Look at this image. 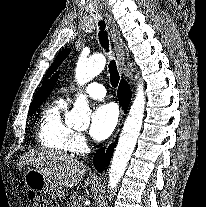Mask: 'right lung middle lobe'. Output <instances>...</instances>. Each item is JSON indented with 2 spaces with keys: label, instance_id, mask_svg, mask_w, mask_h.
I'll return each mask as SVG.
<instances>
[{
  "label": "right lung middle lobe",
  "instance_id": "right-lung-middle-lobe-1",
  "mask_svg": "<svg viewBox=\"0 0 206 207\" xmlns=\"http://www.w3.org/2000/svg\"><path fill=\"white\" fill-rule=\"evenodd\" d=\"M38 109V107H35V108H31L30 110H29V116H32L34 113H35V111Z\"/></svg>",
  "mask_w": 206,
  "mask_h": 207
}]
</instances>
